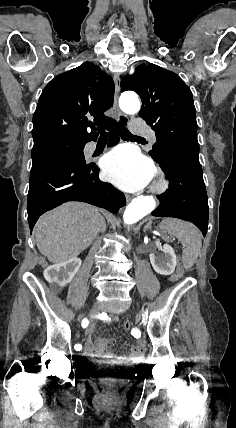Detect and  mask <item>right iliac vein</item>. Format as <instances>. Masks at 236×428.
Returning <instances> with one entry per match:
<instances>
[{
  "instance_id": "63e3f726",
  "label": "right iliac vein",
  "mask_w": 236,
  "mask_h": 428,
  "mask_svg": "<svg viewBox=\"0 0 236 428\" xmlns=\"http://www.w3.org/2000/svg\"><path fill=\"white\" fill-rule=\"evenodd\" d=\"M90 316L94 317L95 313L91 310L90 312ZM93 323L89 326V328L87 329L88 333H91L92 330L94 329V326L96 325L94 322L96 321L94 318L91 320ZM86 331L83 333L85 336L88 334Z\"/></svg>"
}]
</instances>
